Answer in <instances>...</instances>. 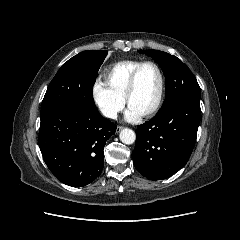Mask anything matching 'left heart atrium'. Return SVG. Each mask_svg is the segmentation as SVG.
Wrapping results in <instances>:
<instances>
[{"instance_id": "1", "label": "left heart atrium", "mask_w": 240, "mask_h": 240, "mask_svg": "<svg viewBox=\"0 0 240 240\" xmlns=\"http://www.w3.org/2000/svg\"><path fill=\"white\" fill-rule=\"evenodd\" d=\"M141 117V114L129 105L128 109L125 112V119L127 121H137Z\"/></svg>"}]
</instances>
